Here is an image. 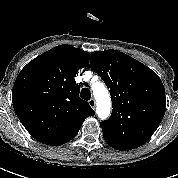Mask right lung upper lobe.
<instances>
[{"instance_id":"obj_1","label":"right lung upper lobe","mask_w":178,"mask_h":178,"mask_svg":"<svg viewBox=\"0 0 178 178\" xmlns=\"http://www.w3.org/2000/svg\"><path fill=\"white\" fill-rule=\"evenodd\" d=\"M89 53L59 45L30 61L13 86L14 110L26 130L44 144L58 146L73 139L84 120L95 114L79 98L74 77L89 62Z\"/></svg>"}]
</instances>
